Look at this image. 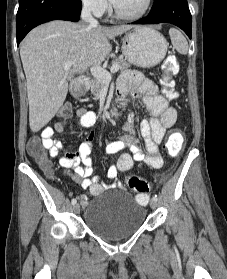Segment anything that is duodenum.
<instances>
[{
	"label": "duodenum",
	"mask_w": 227,
	"mask_h": 279,
	"mask_svg": "<svg viewBox=\"0 0 227 279\" xmlns=\"http://www.w3.org/2000/svg\"><path fill=\"white\" fill-rule=\"evenodd\" d=\"M88 84H89V81H88L87 77H82V78L77 79L71 88L72 96H74V97L83 96L87 90Z\"/></svg>",
	"instance_id": "obj_1"
}]
</instances>
